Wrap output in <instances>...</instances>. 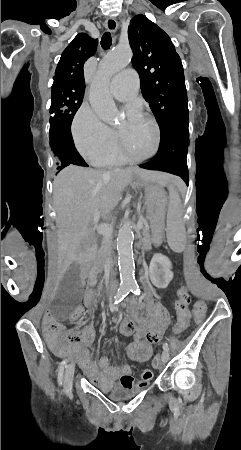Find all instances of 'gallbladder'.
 Here are the masks:
<instances>
[{
	"mask_svg": "<svg viewBox=\"0 0 241 450\" xmlns=\"http://www.w3.org/2000/svg\"><path fill=\"white\" fill-rule=\"evenodd\" d=\"M81 266H71L65 272L59 284V291L54 301L50 302L53 319L56 323H65L75 310H79L83 288L80 283Z\"/></svg>",
	"mask_w": 241,
	"mask_h": 450,
	"instance_id": "gallbladder-1",
	"label": "gallbladder"
}]
</instances>
